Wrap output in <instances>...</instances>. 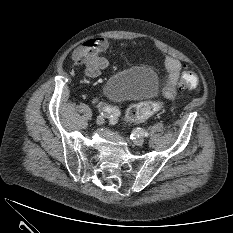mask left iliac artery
<instances>
[{
	"mask_svg": "<svg viewBox=\"0 0 233 233\" xmlns=\"http://www.w3.org/2000/svg\"><path fill=\"white\" fill-rule=\"evenodd\" d=\"M137 133L140 134L141 136H144V137H147L148 136V132L141 129V128H138L137 129Z\"/></svg>",
	"mask_w": 233,
	"mask_h": 233,
	"instance_id": "obj_1",
	"label": "left iliac artery"
}]
</instances>
